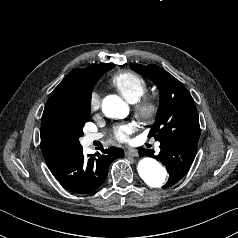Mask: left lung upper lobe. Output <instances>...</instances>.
Returning <instances> with one entry per match:
<instances>
[{
	"label": "left lung upper lobe",
	"instance_id": "obj_1",
	"mask_svg": "<svg viewBox=\"0 0 238 238\" xmlns=\"http://www.w3.org/2000/svg\"><path fill=\"white\" fill-rule=\"evenodd\" d=\"M130 67L152 80L160 91V105L149 136L159 142H198L199 117L194 100L184 85L157 65L131 64Z\"/></svg>",
	"mask_w": 238,
	"mask_h": 238
}]
</instances>
